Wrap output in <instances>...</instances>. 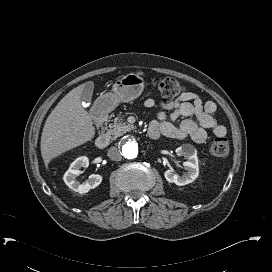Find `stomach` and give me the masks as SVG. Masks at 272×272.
Returning a JSON list of instances; mask_svg holds the SVG:
<instances>
[{
  "instance_id": "0dacf381",
  "label": "stomach",
  "mask_w": 272,
  "mask_h": 272,
  "mask_svg": "<svg viewBox=\"0 0 272 272\" xmlns=\"http://www.w3.org/2000/svg\"><path fill=\"white\" fill-rule=\"evenodd\" d=\"M144 89V79L137 73H130L117 80L112 93L100 98L107 111L114 110L119 103L130 102L139 97Z\"/></svg>"
}]
</instances>
